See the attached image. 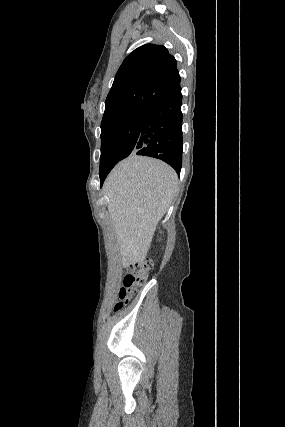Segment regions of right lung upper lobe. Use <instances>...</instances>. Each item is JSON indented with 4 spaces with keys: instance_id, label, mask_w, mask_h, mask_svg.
Segmentation results:
<instances>
[{
    "instance_id": "1",
    "label": "right lung upper lobe",
    "mask_w": 285,
    "mask_h": 427,
    "mask_svg": "<svg viewBox=\"0 0 285 427\" xmlns=\"http://www.w3.org/2000/svg\"><path fill=\"white\" fill-rule=\"evenodd\" d=\"M177 62L161 45L146 44L120 66L105 101L102 124L153 103L180 89Z\"/></svg>"
}]
</instances>
